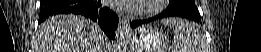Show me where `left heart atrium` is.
<instances>
[{
	"label": "left heart atrium",
	"mask_w": 261,
	"mask_h": 52,
	"mask_svg": "<svg viewBox=\"0 0 261 52\" xmlns=\"http://www.w3.org/2000/svg\"><path fill=\"white\" fill-rule=\"evenodd\" d=\"M146 0H113L112 7L117 9L135 10L144 4Z\"/></svg>",
	"instance_id": "left-heart-atrium-1"
}]
</instances>
